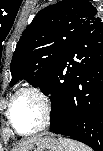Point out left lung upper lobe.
Here are the masks:
<instances>
[{
	"mask_svg": "<svg viewBox=\"0 0 103 151\" xmlns=\"http://www.w3.org/2000/svg\"><path fill=\"white\" fill-rule=\"evenodd\" d=\"M95 23L102 24L97 9L86 0H62L39 11L17 43L10 86L24 78L41 88L78 37Z\"/></svg>",
	"mask_w": 103,
	"mask_h": 151,
	"instance_id": "5c2ea615",
	"label": "left lung upper lobe"
}]
</instances>
